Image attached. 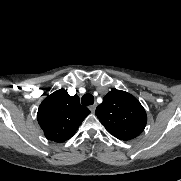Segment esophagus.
Returning <instances> with one entry per match:
<instances>
[{"mask_svg": "<svg viewBox=\"0 0 181 181\" xmlns=\"http://www.w3.org/2000/svg\"><path fill=\"white\" fill-rule=\"evenodd\" d=\"M96 107H97L96 104L90 105V106H89V110H90L92 113H94L95 110H96Z\"/></svg>", "mask_w": 181, "mask_h": 181, "instance_id": "1", "label": "esophagus"}]
</instances>
